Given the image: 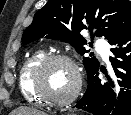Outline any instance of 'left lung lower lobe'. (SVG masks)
<instances>
[{
	"label": "left lung lower lobe",
	"mask_w": 131,
	"mask_h": 115,
	"mask_svg": "<svg viewBox=\"0 0 131 115\" xmlns=\"http://www.w3.org/2000/svg\"><path fill=\"white\" fill-rule=\"evenodd\" d=\"M112 77L99 79V68L88 78L87 90L75 105L93 115H131V24L109 42Z\"/></svg>",
	"instance_id": "left-lung-lower-lobe-1"
}]
</instances>
